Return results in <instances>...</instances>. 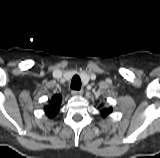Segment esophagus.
I'll return each mask as SVG.
<instances>
[{
  "instance_id": "1",
  "label": "esophagus",
  "mask_w": 160,
  "mask_h": 158,
  "mask_svg": "<svg viewBox=\"0 0 160 158\" xmlns=\"http://www.w3.org/2000/svg\"><path fill=\"white\" fill-rule=\"evenodd\" d=\"M71 94L73 96H79V95H82L83 94V90H72L71 91Z\"/></svg>"
}]
</instances>
